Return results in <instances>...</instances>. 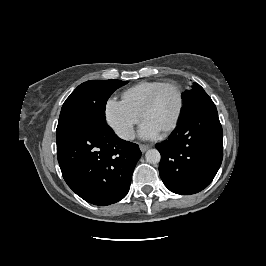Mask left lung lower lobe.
<instances>
[{
    "label": "left lung lower lobe",
    "instance_id": "0a47b994",
    "mask_svg": "<svg viewBox=\"0 0 266 266\" xmlns=\"http://www.w3.org/2000/svg\"><path fill=\"white\" fill-rule=\"evenodd\" d=\"M156 148L161 154L160 177L170 191L189 195L206 188L223 159V131L211 98L187 110Z\"/></svg>",
    "mask_w": 266,
    "mask_h": 266
}]
</instances>
